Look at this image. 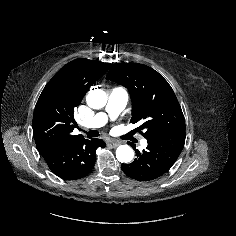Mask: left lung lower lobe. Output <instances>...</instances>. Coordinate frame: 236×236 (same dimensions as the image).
Returning a JSON list of instances; mask_svg holds the SVG:
<instances>
[{"instance_id":"obj_1","label":"left lung lower lobe","mask_w":236,"mask_h":236,"mask_svg":"<svg viewBox=\"0 0 236 236\" xmlns=\"http://www.w3.org/2000/svg\"><path fill=\"white\" fill-rule=\"evenodd\" d=\"M185 131L147 139L146 150H135L137 158L122 164L123 172L138 181H151L164 175L173 166L185 144Z\"/></svg>"}]
</instances>
